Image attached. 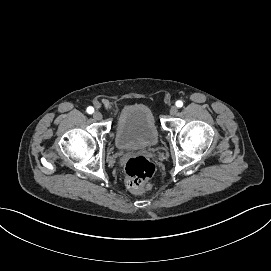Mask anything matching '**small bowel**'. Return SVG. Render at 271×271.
<instances>
[{"label":"small bowel","mask_w":271,"mask_h":271,"mask_svg":"<svg viewBox=\"0 0 271 271\" xmlns=\"http://www.w3.org/2000/svg\"><path fill=\"white\" fill-rule=\"evenodd\" d=\"M105 105H106L107 107H110V106H111L110 102H108V101L105 103Z\"/></svg>","instance_id":"obj_1"}]
</instances>
